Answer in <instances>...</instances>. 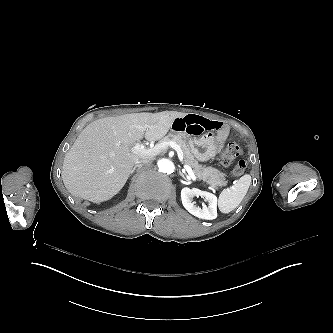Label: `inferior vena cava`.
<instances>
[{"instance_id": "602c4592", "label": "inferior vena cava", "mask_w": 333, "mask_h": 333, "mask_svg": "<svg viewBox=\"0 0 333 333\" xmlns=\"http://www.w3.org/2000/svg\"><path fill=\"white\" fill-rule=\"evenodd\" d=\"M150 160H151V158H146V159H143V160H137V161L135 162V166H137V167H141L142 164L149 163Z\"/></svg>"}]
</instances>
